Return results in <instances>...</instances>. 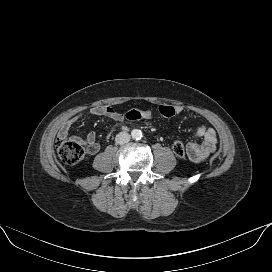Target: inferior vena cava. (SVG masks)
I'll list each match as a JSON object with an SVG mask.
<instances>
[{"label": "inferior vena cava", "mask_w": 272, "mask_h": 272, "mask_svg": "<svg viewBox=\"0 0 272 272\" xmlns=\"http://www.w3.org/2000/svg\"><path fill=\"white\" fill-rule=\"evenodd\" d=\"M130 140V135L127 132H120L116 135L115 141L117 144H125L129 142Z\"/></svg>", "instance_id": "1"}]
</instances>
